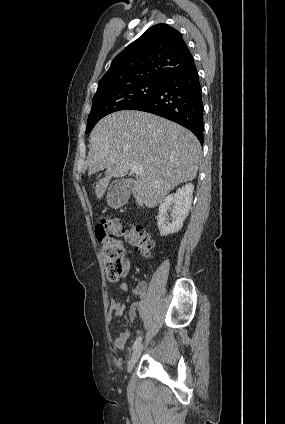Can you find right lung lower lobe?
Segmentation results:
<instances>
[{"label":"right lung lower lobe","instance_id":"right-lung-lower-lobe-1","mask_svg":"<svg viewBox=\"0 0 285 424\" xmlns=\"http://www.w3.org/2000/svg\"><path fill=\"white\" fill-rule=\"evenodd\" d=\"M131 110L153 113L189 129L203 144L202 89L194 61L166 78L151 97L137 103Z\"/></svg>","mask_w":285,"mask_h":424}]
</instances>
